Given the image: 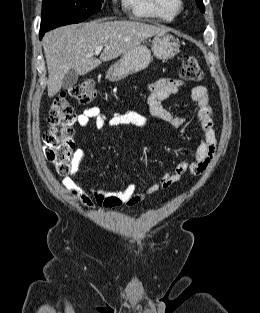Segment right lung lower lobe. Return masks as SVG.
I'll list each match as a JSON object with an SVG mask.
<instances>
[{"label":"right lung lower lobe","instance_id":"1","mask_svg":"<svg viewBox=\"0 0 260 313\" xmlns=\"http://www.w3.org/2000/svg\"><path fill=\"white\" fill-rule=\"evenodd\" d=\"M45 32H46V31L40 29V34H39V35H40V39L43 37V35H44Z\"/></svg>","mask_w":260,"mask_h":313}]
</instances>
